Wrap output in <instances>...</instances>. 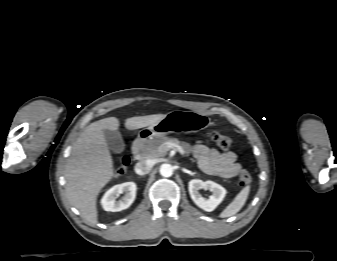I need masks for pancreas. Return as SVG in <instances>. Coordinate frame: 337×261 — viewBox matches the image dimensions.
I'll list each match as a JSON object with an SVG mask.
<instances>
[{"label": "pancreas", "instance_id": "cf45deb5", "mask_svg": "<svg viewBox=\"0 0 337 261\" xmlns=\"http://www.w3.org/2000/svg\"><path fill=\"white\" fill-rule=\"evenodd\" d=\"M173 142L180 145L184 152L188 155L191 152V145L187 142L179 141L176 138L158 137L152 140H146L140 146V154L143 158H157L166 154L164 144Z\"/></svg>", "mask_w": 337, "mask_h": 261}]
</instances>
